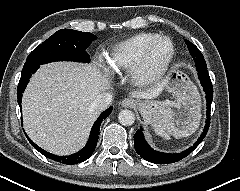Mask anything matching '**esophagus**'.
<instances>
[{"label":"esophagus","instance_id":"1","mask_svg":"<svg viewBox=\"0 0 240 191\" xmlns=\"http://www.w3.org/2000/svg\"><path fill=\"white\" fill-rule=\"evenodd\" d=\"M136 104H137V101L133 98H127L121 102V105L126 108H134Z\"/></svg>","mask_w":240,"mask_h":191}]
</instances>
